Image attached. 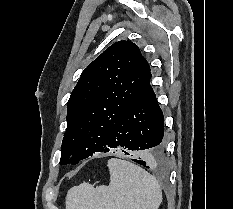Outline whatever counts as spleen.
Returning <instances> with one entry per match:
<instances>
[{"mask_svg":"<svg viewBox=\"0 0 233 209\" xmlns=\"http://www.w3.org/2000/svg\"><path fill=\"white\" fill-rule=\"evenodd\" d=\"M108 186L83 182L66 196V209H158L162 191L156 178L140 166L112 158Z\"/></svg>","mask_w":233,"mask_h":209,"instance_id":"obj_1","label":"spleen"}]
</instances>
